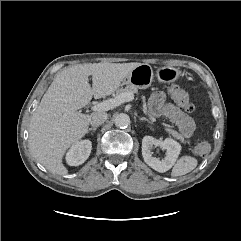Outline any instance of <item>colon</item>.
Instances as JSON below:
<instances>
[{
  "mask_svg": "<svg viewBox=\"0 0 241 241\" xmlns=\"http://www.w3.org/2000/svg\"><path fill=\"white\" fill-rule=\"evenodd\" d=\"M169 94L175 101V103L180 106L183 110L188 113H192L195 110V106L190 101L187 93L182 90L180 87L173 85L169 88ZM210 151V145L207 142H201L196 145L195 153L200 156H206Z\"/></svg>",
  "mask_w": 241,
  "mask_h": 241,
  "instance_id": "1",
  "label": "colon"
}]
</instances>
